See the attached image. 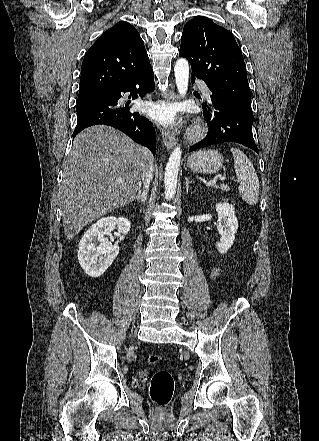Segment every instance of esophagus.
I'll return each instance as SVG.
<instances>
[{"label": "esophagus", "instance_id": "1", "mask_svg": "<svg viewBox=\"0 0 319 441\" xmlns=\"http://www.w3.org/2000/svg\"><path fill=\"white\" fill-rule=\"evenodd\" d=\"M165 98L168 101L177 102L179 99V96L174 90H171L165 94ZM175 135H176V131L171 130L168 127H165L162 131V141H163L164 146L168 150L172 149L176 144Z\"/></svg>", "mask_w": 319, "mask_h": 441}]
</instances>
